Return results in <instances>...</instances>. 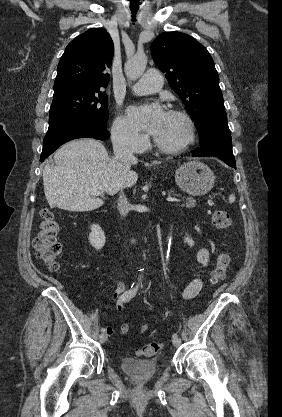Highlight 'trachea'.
<instances>
[{
    "label": "trachea",
    "instance_id": "trachea-1",
    "mask_svg": "<svg viewBox=\"0 0 282 417\" xmlns=\"http://www.w3.org/2000/svg\"><path fill=\"white\" fill-rule=\"evenodd\" d=\"M137 10H132V22H135V14Z\"/></svg>",
    "mask_w": 282,
    "mask_h": 417
}]
</instances>
